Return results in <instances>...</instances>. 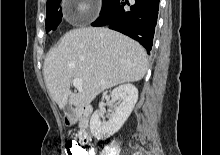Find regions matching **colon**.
<instances>
[{
  "label": "colon",
  "mask_w": 220,
  "mask_h": 155,
  "mask_svg": "<svg viewBox=\"0 0 220 155\" xmlns=\"http://www.w3.org/2000/svg\"><path fill=\"white\" fill-rule=\"evenodd\" d=\"M88 148H91V143H78L76 140L68 141L65 146L68 155H92Z\"/></svg>",
  "instance_id": "5ec220e1"
}]
</instances>
